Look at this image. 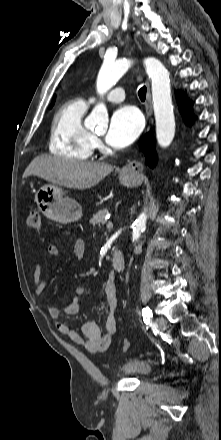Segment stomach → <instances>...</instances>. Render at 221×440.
<instances>
[{"instance_id":"stomach-1","label":"stomach","mask_w":221,"mask_h":440,"mask_svg":"<svg viewBox=\"0 0 221 440\" xmlns=\"http://www.w3.org/2000/svg\"><path fill=\"white\" fill-rule=\"evenodd\" d=\"M120 182L127 187L138 184L139 177L133 172L121 171ZM39 211L47 218L59 222L70 223L82 217V207L74 199L64 196L61 187L55 184H45L35 194Z\"/></svg>"}]
</instances>
